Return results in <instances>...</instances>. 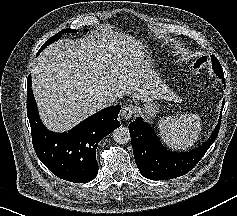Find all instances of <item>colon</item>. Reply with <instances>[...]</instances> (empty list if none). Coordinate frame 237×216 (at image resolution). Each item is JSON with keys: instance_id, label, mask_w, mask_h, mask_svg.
Listing matches in <instances>:
<instances>
[{"instance_id": "1", "label": "colon", "mask_w": 237, "mask_h": 216, "mask_svg": "<svg viewBox=\"0 0 237 216\" xmlns=\"http://www.w3.org/2000/svg\"><path fill=\"white\" fill-rule=\"evenodd\" d=\"M205 64H206V58L200 57L192 63L191 67L196 71H201L205 67Z\"/></svg>"}]
</instances>
